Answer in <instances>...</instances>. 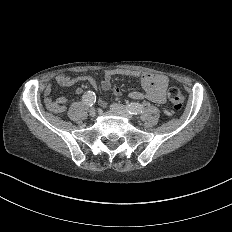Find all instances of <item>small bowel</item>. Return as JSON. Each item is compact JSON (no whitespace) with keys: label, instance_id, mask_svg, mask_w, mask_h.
<instances>
[{"label":"small bowel","instance_id":"c3829d8e","mask_svg":"<svg viewBox=\"0 0 232 232\" xmlns=\"http://www.w3.org/2000/svg\"><path fill=\"white\" fill-rule=\"evenodd\" d=\"M115 76H128L136 79L147 90V97L149 100L157 103H164L166 101V91L171 86L170 79L161 73H148L140 69H107L103 70L101 74V87L103 91L109 92L111 89V80ZM55 81L61 87H70L78 82L77 79L60 73L55 76ZM87 82L91 84L95 89L98 88V81L95 78L87 79ZM46 94L50 95L53 92V85L48 84L45 88ZM82 92V88H76V93ZM113 97H119V92H113ZM130 98L139 99L143 97V94L137 90H131L128 92ZM103 108H107L108 104L103 102Z\"/></svg>","mask_w":232,"mask_h":232}]
</instances>
